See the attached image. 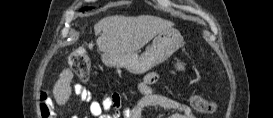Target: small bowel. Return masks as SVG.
Masks as SVG:
<instances>
[{
  "label": "small bowel",
  "mask_w": 273,
  "mask_h": 118,
  "mask_svg": "<svg viewBox=\"0 0 273 118\" xmlns=\"http://www.w3.org/2000/svg\"><path fill=\"white\" fill-rule=\"evenodd\" d=\"M175 70L177 72L182 71L183 65L178 63ZM158 77L159 75L156 73L147 75L144 82L138 86L141 95L140 98L133 106L124 109H122L121 98L118 93L104 96L101 99H94L86 88L77 84L74 88V94L88 105L91 117L104 118L103 112L105 111L109 118H119L121 114L124 118H140L144 108L158 107L176 112L168 115L166 118H194L192 111V108H194L193 97L203 98L191 95L189 97L190 105H187L178 100L166 97L152 87L157 82Z\"/></svg>",
  "instance_id": "obj_1"
}]
</instances>
